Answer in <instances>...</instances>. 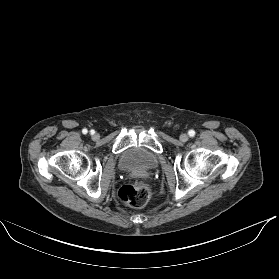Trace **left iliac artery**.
Here are the masks:
<instances>
[{
    "mask_svg": "<svg viewBox=\"0 0 279 279\" xmlns=\"http://www.w3.org/2000/svg\"><path fill=\"white\" fill-rule=\"evenodd\" d=\"M190 137H193L195 135V131L194 130H189L188 132Z\"/></svg>",
    "mask_w": 279,
    "mask_h": 279,
    "instance_id": "44dca946",
    "label": "left iliac artery"
}]
</instances>
